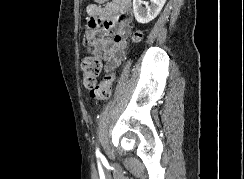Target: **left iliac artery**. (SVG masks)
<instances>
[{
	"label": "left iliac artery",
	"mask_w": 244,
	"mask_h": 179,
	"mask_svg": "<svg viewBox=\"0 0 244 179\" xmlns=\"http://www.w3.org/2000/svg\"><path fill=\"white\" fill-rule=\"evenodd\" d=\"M102 154L100 153L99 149L97 148L96 150V156H101Z\"/></svg>",
	"instance_id": "obj_1"
}]
</instances>
